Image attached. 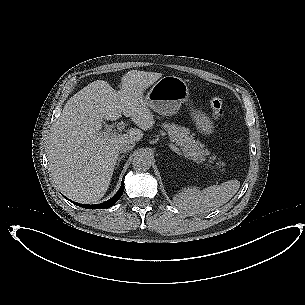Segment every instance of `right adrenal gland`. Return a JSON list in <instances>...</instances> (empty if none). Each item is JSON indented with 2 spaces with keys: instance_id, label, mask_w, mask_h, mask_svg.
Masks as SVG:
<instances>
[{
  "instance_id": "1",
  "label": "right adrenal gland",
  "mask_w": 305,
  "mask_h": 305,
  "mask_svg": "<svg viewBox=\"0 0 305 305\" xmlns=\"http://www.w3.org/2000/svg\"><path fill=\"white\" fill-rule=\"evenodd\" d=\"M125 156L122 155L121 157H118V160H117V163H116V166H119L121 160L124 158Z\"/></svg>"
}]
</instances>
